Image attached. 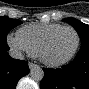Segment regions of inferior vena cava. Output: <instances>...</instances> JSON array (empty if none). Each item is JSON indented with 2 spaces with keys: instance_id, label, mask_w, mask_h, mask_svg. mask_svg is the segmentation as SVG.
Returning <instances> with one entry per match:
<instances>
[{
  "instance_id": "1",
  "label": "inferior vena cava",
  "mask_w": 89,
  "mask_h": 89,
  "mask_svg": "<svg viewBox=\"0 0 89 89\" xmlns=\"http://www.w3.org/2000/svg\"><path fill=\"white\" fill-rule=\"evenodd\" d=\"M9 55L14 59H19V60L24 59V55L20 51H18L16 49H11L9 51Z\"/></svg>"
}]
</instances>
